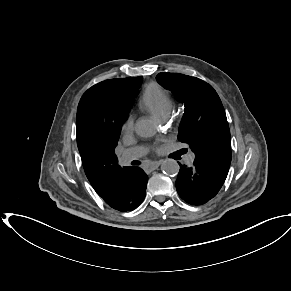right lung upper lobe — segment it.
I'll use <instances>...</instances> for the list:
<instances>
[{"mask_svg":"<svg viewBox=\"0 0 291 291\" xmlns=\"http://www.w3.org/2000/svg\"><path fill=\"white\" fill-rule=\"evenodd\" d=\"M135 78L110 79L89 88L82 96L76 118L77 145L88 180L105 202L116 197L121 190L115 147L107 141L100 119V107L106 93L130 98Z\"/></svg>","mask_w":291,"mask_h":291,"instance_id":"1","label":"right lung upper lobe"}]
</instances>
